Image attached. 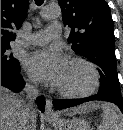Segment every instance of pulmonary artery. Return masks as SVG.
Masks as SVG:
<instances>
[{"label": "pulmonary artery", "mask_w": 123, "mask_h": 130, "mask_svg": "<svg viewBox=\"0 0 123 130\" xmlns=\"http://www.w3.org/2000/svg\"><path fill=\"white\" fill-rule=\"evenodd\" d=\"M61 35V27L59 24H52L47 29L40 30L27 39L29 45H42L53 39L59 38Z\"/></svg>", "instance_id": "obj_1"}]
</instances>
